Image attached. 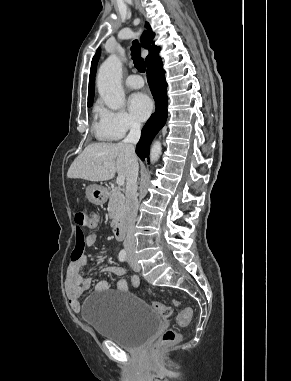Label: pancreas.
Here are the masks:
<instances>
[{
    "label": "pancreas",
    "instance_id": "1",
    "mask_svg": "<svg viewBox=\"0 0 291 381\" xmlns=\"http://www.w3.org/2000/svg\"><path fill=\"white\" fill-rule=\"evenodd\" d=\"M124 207L125 198L123 193L116 187L112 188L108 203L109 217L112 220V226H115L122 219Z\"/></svg>",
    "mask_w": 291,
    "mask_h": 381
}]
</instances>
